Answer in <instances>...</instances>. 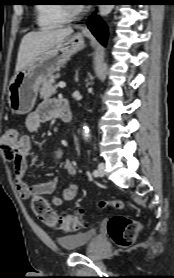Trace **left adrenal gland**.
<instances>
[{
	"instance_id": "left-adrenal-gland-1",
	"label": "left adrenal gland",
	"mask_w": 174,
	"mask_h": 278,
	"mask_svg": "<svg viewBox=\"0 0 174 278\" xmlns=\"http://www.w3.org/2000/svg\"><path fill=\"white\" fill-rule=\"evenodd\" d=\"M75 79H76V81H78V72L76 73Z\"/></svg>"
}]
</instances>
